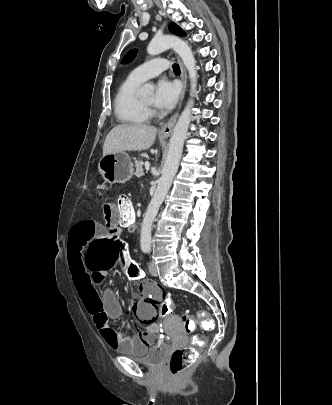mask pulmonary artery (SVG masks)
Instances as JSON below:
<instances>
[{"label": "pulmonary artery", "mask_w": 332, "mask_h": 405, "mask_svg": "<svg viewBox=\"0 0 332 405\" xmlns=\"http://www.w3.org/2000/svg\"><path fill=\"white\" fill-rule=\"evenodd\" d=\"M166 69H168V61L164 58H156L135 68L129 77L136 81L144 82L159 75Z\"/></svg>", "instance_id": "e3ab8cb5"}]
</instances>
